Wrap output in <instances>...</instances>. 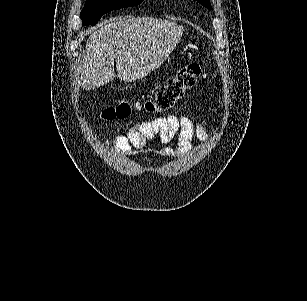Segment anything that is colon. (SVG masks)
<instances>
[{"label":"colon","mask_w":307,"mask_h":301,"mask_svg":"<svg viewBox=\"0 0 307 301\" xmlns=\"http://www.w3.org/2000/svg\"><path fill=\"white\" fill-rule=\"evenodd\" d=\"M200 74L201 64L190 62L161 85L153 97L133 100L123 98L116 105L107 107L102 112V117L106 120L122 119L130 116L134 110H144L149 113L168 111L196 85Z\"/></svg>","instance_id":"5ec220e1"}]
</instances>
